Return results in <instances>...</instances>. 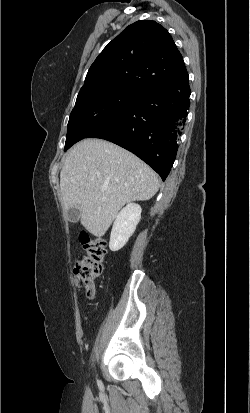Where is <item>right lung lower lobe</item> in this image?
Listing matches in <instances>:
<instances>
[{"instance_id": "obj_1", "label": "right lung lower lobe", "mask_w": 250, "mask_h": 413, "mask_svg": "<svg viewBox=\"0 0 250 413\" xmlns=\"http://www.w3.org/2000/svg\"><path fill=\"white\" fill-rule=\"evenodd\" d=\"M189 96L188 81L143 91L86 138L105 139L131 151L165 180L176 158Z\"/></svg>"}]
</instances>
